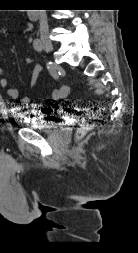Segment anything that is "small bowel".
Listing matches in <instances>:
<instances>
[{"label": "small bowel", "instance_id": "small-bowel-1", "mask_svg": "<svg viewBox=\"0 0 138 253\" xmlns=\"http://www.w3.org/2000/svg\"><path fill=\"white\" fill-rule=\"evenodd\" d=\"M25 63L26 64H31L33 62V59L32 57L30 56H26L25 59H24ZM43 71V67L38 64L36 65L32 72L30 73L28 79H27V85L31 88L35 87L36 84H37V81H38V78H39V75L41 74V72ZM0 85L6 89L7 91V94L13 98V99H17L18 98V91L14 88H10L8 86V82H7V79L5 77V74L0 66ZM30 102V99L29 97L25 96L21 99V103L22 105H28Z\"/></svg>", "mask_w": 138, "mask_h": 253}]
</instances>
